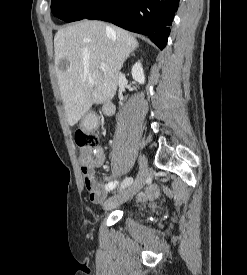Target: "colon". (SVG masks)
Returning a JSON list of instances; mask_svg holds the SVG:
<instances>
[{"instance_id": "5ec220e1", "label": "colon", "mask_w": 247, "mask_h": 275, "mask_svg": "<svg viewBox=\"0 0 247 275\" xmlns=\"http://www.w3.org/2000/svg\"><path fill=\"white\" fill-rule=\"evenodd\" d=\"M75 142L81 149L80 159L84 168L92 160V151L98 144V138L95 134L78 130L75 134Z\"/></svg>"}]
</instances>
